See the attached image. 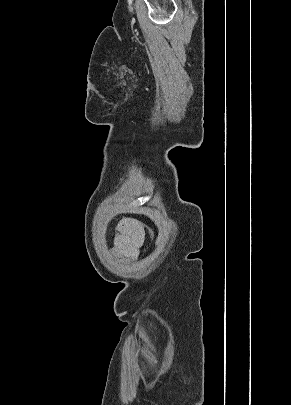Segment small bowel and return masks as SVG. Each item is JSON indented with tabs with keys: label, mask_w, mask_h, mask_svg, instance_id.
I'll return each instance as SVG.
<instances>
[{
	"label": "small bowel",
	"mask_w": 291,
	"mask_h": 405,
	"mask_svg": "<svg viewBox=\"0 0 291 405\" xmlns=\"http://www.w3.org/2000/svg\"><path fill=\"white\" fill-rule=\"evenodd\" d=\"M143 239V227L137 222L125 221L118 228L114 241L115 250L121 256L137 257Z\"/></svg>",
	"instance_id": "small-bowel-1"
}]
</instances>
